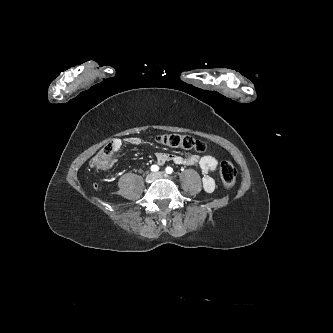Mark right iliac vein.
<instances>
[{
	"mask_svg": "<svg viewBox=\"0 0 333 333\" xmlns=\"http://www.w3.org/2000/svg\"><path fill=\"white\" fill-rule=\"evenodd\" d=\"M155 179H156V177H155V173H152V172H151V173H148V174H147L145 181H146L147 183H152Z\"/></svg>",
	"mask_w": 333,
	"mask_h": 333,
	"instance_id": "63e3f726",
	"label": "right iliac vein"
}]
</instances>
